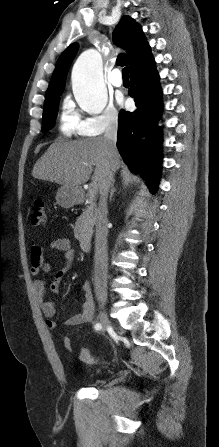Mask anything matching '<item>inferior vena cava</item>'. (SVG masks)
Segmentation results:
<instances>
[{
    "label": "inferior vena cava",
    "instance_id": "1",
    "mask_svg": "<svg viewBox=\"0 0 219 447\" xmlns=\"http://www.w3.org/2000/svg\"><path fill=\"white\" fill-rule=\"evenodd\" d=\"M117 130H118L117 121H110L104 134V140L106 142V151L110 159V167L99 189L100 200H99V213L96 220L95 256H94V262H95L94 283H95V293L97 296H102L105 294L106 283H107V274H108L107 199L110 187L113 182V176L116 171L113 158L117 150L116 149Z\"/></svg>",
    "mask_w": 219,
    "mask_h": 447
}]
</instances>
